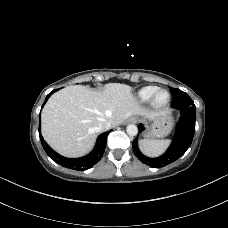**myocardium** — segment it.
I'll list each match as a JSON object with an SVG mask.
<instances>
[{"label":"myocardium","instance_id":"obj_1","mask_svg":"<svg viewBox=\"0 0 228 228\" xmlns=\"http://www.w3.org/2000/svg\"><path fill=\"white\" fill-rule=\"evenodd\" d=\"M163 92L166 94L167 97H166L165 101L160 102V101H158V96H159L160 93H163ZM170 99H171L170 93L167 90L158 88L154 92L152 97L150 98V105L152 106V108L157 109V110L158 109H163L169 104Z\"/></svg>","mask_w":228,"mask_h":228}]
</instances>
